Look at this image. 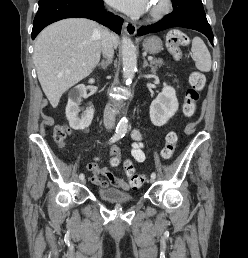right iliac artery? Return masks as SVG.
Returning a JSON list of instances; mask_svg holds the SVG:
<instances>
[{
    "instance_id": "right-iliac-artery-1",
    "label": "right iliac artery",
    "mask_w": 248,
    "mask_h": 258,
    "mask_svg": "<svg viewBox=\"0 0 248 258\" xmlns=\"http://www.w3.org/2000/svg\"><path fill=\"white\" fill-rule=\"evenodd\" d=\"M122 136H123V135H121L120 133L114 134V136L111 137L109 143H113V142L119 140L120 138H122ZM79 178H80V179H84V174L81 173V174L79 175Z\"/></svg>"
}]
</instances>
